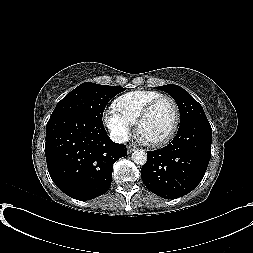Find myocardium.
<instances>
[{
    "mask_svg": "<svg viewBox=\"0 0 253 253\" xmlns=\"http://www.w3.org/2000/svg\"><path fill=\"white\" fill-rule=\"evenodd\" d=\"M163 101H168L173 105V108L175 111V121H174L173 127L170 130V132L163 139L158 140V141H154V142L147 141V140L143 139L140 135L141 126L144 123V121L149 117V115L152 113L154 108ZM180 120H181V113H180V108H179L177 102L170 96H161L159 98L152 100L150 103H148L145 106V108L142 110L140 115L138 116L136 123H135L136 124V135L147 146L163 147V146L167 145L169 142H171L172 139L175 137V135L179 129Z\"/></svg>",
    "mask_w": 253,
    "mask_h": 253,
    "instance_id": "obj_1",
    "label": "myocardium"
}]
</instances>
